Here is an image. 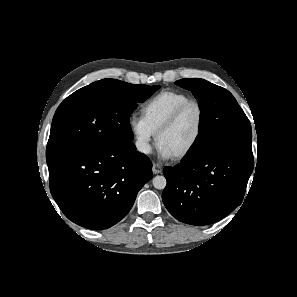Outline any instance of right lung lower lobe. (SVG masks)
Here are the masks:
<instances>
[{"mask_svg": "<svg viewBox=\"0 0 297 297\" xmlns=\"http://www.w3.org/2000/svg\"><path fill=\"white\" fill-rule=\"evenodd\" d=\"M51 194L72 222L107 229L126 216L152 178L150 159L133 142L69 151L48 164Z\"/></svg>", "mask_w": 297, "mask_h": 297, "instance_id": "obj_1", "label": "right lung lower lobe"}]
</instances>
